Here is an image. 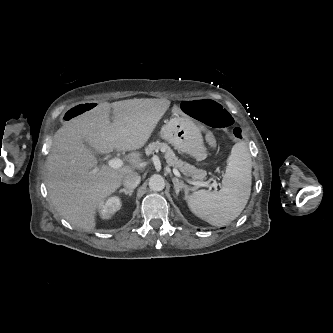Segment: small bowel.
Segmentation results:
<instances>
[{
	"instance_id": "1",
	"label": "small bowel",
	"mask_w": 333,
	"mask_h": 333,
	"mask_svg": "<svg viewBox=\"0 0 333 333\" xmlns=\"http://www.w3.org/2000/svg\"><path fill=\"white\" fill-rule=\"evenodd\" d=\"M172 112L174 113L175 116H178L180 118H183V119L189 118V112L181 110L178 106H173ZM193 127L198 129L202 133H205V135L208 139V143L211 144L214 149L217 147L216 144L218 145L220 143V141L215 137L214 132L211 129H208V126L204 125L203 122L194 121Z\"/></svg>"
}]
</instances>
